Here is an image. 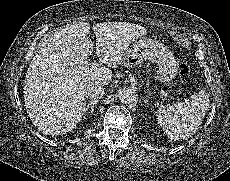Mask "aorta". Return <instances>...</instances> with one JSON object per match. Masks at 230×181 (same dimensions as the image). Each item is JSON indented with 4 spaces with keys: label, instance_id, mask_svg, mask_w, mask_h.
<instances>
[{
    "label": "aorta",
    "instance_id": "762f6f07",
    "mask_svg": "<svg viewBox=\"0 0 230 181\" xmlns=\"http://www.w3.org/2000/svg\"><path fill=\"white\" fill-rule=\"evenodd\" d=\"M118 97L121 103L126 104V105L136 104L138 101V96L136 92H134L129 87L121 88L118 92Z\"/></svg>",
    "mask_w": 230,
    "mask_h": 181
}]
</instances>
